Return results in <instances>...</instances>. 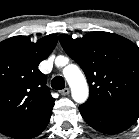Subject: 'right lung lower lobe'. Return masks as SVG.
<instances>
[{
	"label": "right lung lower lobe",
	"instance_id": "98d812e1",
	"mask_svg": "<svg viewBox=\"0 0 139 139\" xmlns=\"http://www.w3.org/2000/svg\"><path fill=\"white\" fill-rule=\"evenodd\" d=\"M52 114V109L49 110L46 114L40 117L34 123L10 134L9 136L15 139H31L39 135L48 125L50 117Z\"/></svg>",
	"mask_w": 139,
	"mask_h": 139
}]
</instances>
